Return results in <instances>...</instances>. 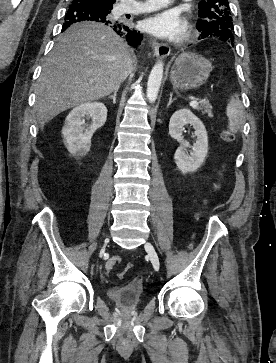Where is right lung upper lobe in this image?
<instances>
[{"label":"right lung upper lobe","instance_id":"right-lung-upper-lobe-1","mask_svg":"<svg viewBox=\"0 0 276 363\" xmlns=\"http://www.w3.org/2000/svg\"><path fill=\"white\" fill-rule=\"evenodd\" d=\"M90 1H93L95 3L101 4V5H104V6L112 7L116 0H90Z\"/></svg>","mask_w":276,"mask_h":363}]
</instances>
